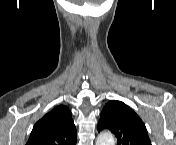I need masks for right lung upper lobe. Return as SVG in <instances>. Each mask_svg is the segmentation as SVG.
Returning <instances> with one entry per match:
<instances>
[{"label": "right lung upper lobe", "instance_id": "cb5924a9", "mask_svg": "<svg viewBox=\"0 0 176 145\" xmlns=\"http://www.w3.org/2000/svg\"><path fill=\"white\" fill-rule=\"evenodd\" d=\"M76 139L71 112L66 106L60 105L34 125L27 145H75Z\"/></svg>", "mask_w": 176, "mask_h": 145}]
</instances>
